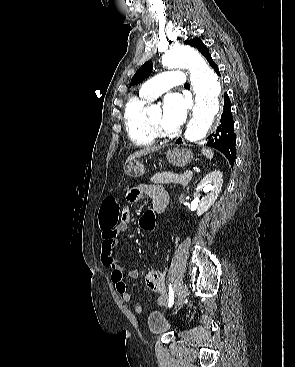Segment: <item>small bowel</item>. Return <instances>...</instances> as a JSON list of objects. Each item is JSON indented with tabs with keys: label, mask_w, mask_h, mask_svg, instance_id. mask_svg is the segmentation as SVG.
Segmentation results:
<instances>
[{
	"label": "small bowel",
	"mask_w": 295,
	"mask_h": 367,
	"mask_svg": "<svg viewBox=\"0 0 295 367\" xmlns=\"http://www.w3.org/2000/svg\"><path fill=\"white\" fill-rule=\"evenodd\" d=\"M147 196L154 204L156 201H162L167 204L168 194L160 185L142 184L132 188L127 194V200L130 203H135ZM132 210L131 208H122L120 223L111 228H101L102 246H101V262L110 269L111 281L115 286L116 291L121 295L125 303L132 301V296L127 290L124 281V268L115 258V249L118 244V236L128 229ZM127 275L131 278H137L139 272L136 268L127 270ZM165 270H154L147 274L146 284L152 291L159 294L157 303L163 305L166 301V289L164 284ZM136 313L142 312V306L136 304L134 306Z\"/></svg>",
	"instance_id": "c3829d8e"
}]
</instances>
